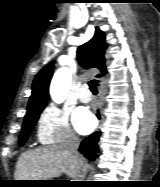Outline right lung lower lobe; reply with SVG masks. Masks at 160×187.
I'll return each instance as SVG.
<instances>
[{
    "label": "right lung lower lobe",
    "mask_w": 160,
    "mask_h": 187,
    "mask_svg": "<svg viewBox=\"0 0 160 187\" xmlns=\"http://www.w3.org/2000/svg\"><path fill=\"white\" fill-rule=\"evenodd\" d=\"M97 117L100 118V115L97 114ZM100 138V131L94 132L92 135L84 139L79 147V151L89 160L94 161L98 155L99 151L98 142ZM83 187V184L76 185Z\"/></svg>",
    "instance_id": "right-lung-lower-lobe-1"
}]
</instances>
